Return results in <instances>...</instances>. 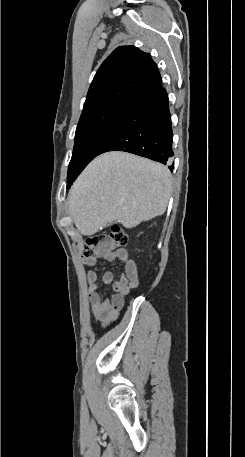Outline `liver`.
<instances>
[{
  "instance_id": "liver-1",
  "label": "liver",
  "mask_w": 245,
  "mask_h": 457,
  "mask_svg": "<svg viewBox=\"0 0 245 457\" xmlns=\"http://www.w3.org/2000/svg\"><path fill=\"white\" fill-rule=\"evenodd\" d=\"M171 172L160 162L130 152H104L76 178L69 190V212L81 235H94L111 220L132 229L165 212Z\"/></svg>"
}]
</instances>
